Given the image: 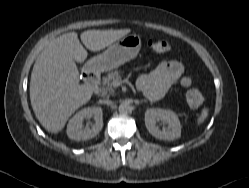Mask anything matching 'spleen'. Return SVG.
Listing matches in <instances>:
<instances>
[{
    "mask_svg": "<svg viewBox=\"0 0 249 188\" xmlns=\"http://www.w3.org/2000/svg\"><path fill=\"white\" fill-rule=\"evenodd\" d=\"M207 116H208V109L204 108L202 110L200 117L197 119V124L200 125L201 123H203L204 120L207 118Z\"/></svg>",
    "mask_w": 249,
    "mask_h": 188,
    "instance_id": "3e777b00",
    "label": "spleen"
}]
</instances>
